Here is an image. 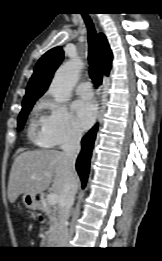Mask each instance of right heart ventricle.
Listing matches in <instances>:
<instances>
[{
    "instance_id": "e07e8e85",
    "label": "right heart ventricle",
    "mask_w": 162,
    "mask_h": 261,
    "mask_svg": "<svg viewBox=\"0 0 162 261\" xmlns=\"http://www.w3.org/2000/svg\"><path fill=\"white\" fill-rule=\"evenodd\" d=\"M39 109H40V106H37L36 108H35V114H37V112L39 111Z\"/></svg>"
}]
</instances>
